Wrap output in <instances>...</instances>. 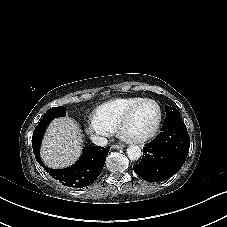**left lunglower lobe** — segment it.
<instances>
[{
    "label": "left lung lower lobe",
    "instance_id": "left-lung-lower-lobe-1",
    "mask_svg": "<svg viewBox=\"0 0 227 227\" xmlns=\"http://www.w3.org/2000/svg\"><path fill=\"white\" fill-rule=\"evenodd\" d=\"M189 146V134L181 117L167 116L161 132L143 148L142 160L133 169L146 181L166 180L180 170Z\"/></svg>",
    "mask_w": 227,
    "mask_h": 227
}]
</instances>
